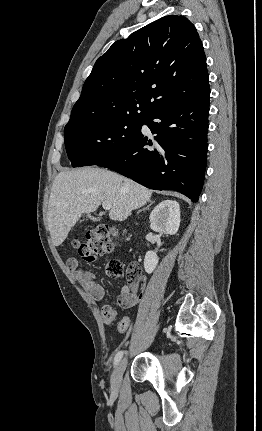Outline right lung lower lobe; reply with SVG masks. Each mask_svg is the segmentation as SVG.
Instances as JSON below:
<instances>
[{"mask_svg":"<svg viewBox=\"0 0 262 431\" xmlns=\"http://www.w3.org/2000/svg\"><path fill=\"white\" fill-rule=\"evenodd\" d=\"M209 98L208 84L194 97L151 114L144 124L156 134L153 141L139 131L96 165L151 189L178 191L197 202L207 161Z\"/></svg>","mask_w":262,"mask_h":431,"instance_id":"98d812e1","label":"right lung lower lobe"}]
</instances>
